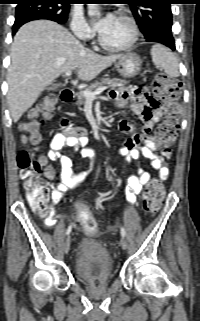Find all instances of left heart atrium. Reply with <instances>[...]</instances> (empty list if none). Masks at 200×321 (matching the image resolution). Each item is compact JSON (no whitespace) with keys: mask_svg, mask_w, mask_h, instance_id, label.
Returning a JSON list of instances; mask_svg holds the SVG:
<instances>
[{"mask_svg":"<svg viewBox=\"0 0 200 321\" xmlns=\"http://www.w3.org/2000/svg\"><path fill=\"white\" fill-rule=\"evenodd\" d=\"M114 16L110 13L105 14L102 18L95 22V28L98 32H104L112 23Z\"/></svg>","mask_w":200,"mask_h":321,"instance_id":"obj_1","label":"left heart atrium"}]
</instances>
